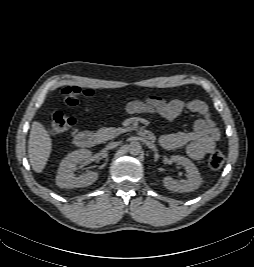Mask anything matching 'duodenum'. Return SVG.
<instances>
[{
    "label": "duodenum",
    "instance_id": "obj_1",
    "mask_svg": "<svg viewBox=\"0 0 254 267\" xmlns=\"http://www.w3.org/2000/svg\"><path fill=\"white\" fill-rule=\"evenodd\" d=\"M139 135L148 141H153L155 135L146 129L139 131ZM75 144L81 148H92L98 144V137L95 133L91 131H80L75 135Z\"/></svg>",
    "mask_w": 254,
    "mask_h": 267
}]
</instances>
